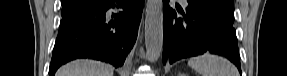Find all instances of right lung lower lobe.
<instances>
[{"label":"right lung lower lobe","mask_w":287,"mask_h":76,"mask_svg":"<svg viewBox=\"0 0 287 76\" xmlns=\"http://www.w3.org/2000/svg\"><path fill=\"white\" fill-rule=\"evenodd\" d=\"M90 0L80 10L63 17L53 49L50 76L76 58L105 61L116 68L124 64L133 47L144 0ZM122 8L108 13L110 8Z\"/></svg>","instance_id":"98d812e1"}]
</instances>
